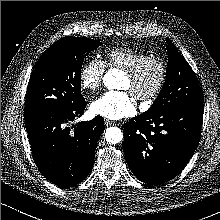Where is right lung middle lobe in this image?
<instances>
[{"instance_id":"dd1d6c3e","label":"right lung middle lobe","mask_w":220,"mask_h":220,"mask_svg":"<svg viewBox=\"0 0 220 220\" xmlns=\"http://www.w3.org/2000/svg\"><path fill=\"white\" fill-rule=\"evenodd\" d=\"M101 45L89 38L64 37L36 62L26 91L25 111L39 108L73 109L85 100L80 75L85 56Z\"/></svg>"}]
</instances>
